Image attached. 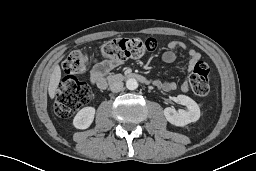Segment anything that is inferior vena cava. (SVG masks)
Here are the masks:
<instances>
[{"instance_id":"602c4592","label":"inferior vena cava","mask_w":256,"mask_h":171,"mask_svg":"<svg viewBox=\"0 0 256 171\" xmlns=\"http://www.w3.org/2000/svg\"><path fill=\"white\" fill-rule=\"evenodd\" d=\"M110 90L112 92H120L123 89V83L121 81H113L110 83Z\"/></svg>"}]
</instances>
